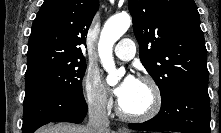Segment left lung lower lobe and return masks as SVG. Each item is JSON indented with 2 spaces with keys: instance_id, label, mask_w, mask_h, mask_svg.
<instances>
[{
  "instance_id": "0a47b994",
  "label": "left lung lower lobe",
  "mask_w": 221,
  "mask_h": 133,
  "mask_svg": "<svg viewBox=\"0 0 221 133\" xmlns=\"http://www.w3.org/2000/svg\"><path fill=\"white\" fill-rule=\"evenodd\" d=\"M208 81L187 80L162 98L160 112L149 121L129 124L140 131L210 133Z\"/></svg>"
}]
</instances>
